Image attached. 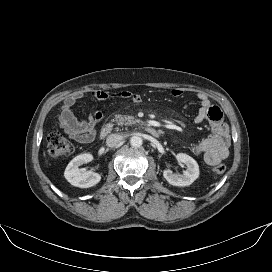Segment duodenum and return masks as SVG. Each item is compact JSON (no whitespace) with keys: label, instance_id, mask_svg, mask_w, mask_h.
I'll return each instance as SVG.
<instances>
[{"label":"duodenum","instance_id":"410a0bca","mask_svg":"<svg viewBox=\"0 0 272 272\" xmlns=\"http://www.w3.org/2000/svg\"><path fill=\"white\" fill-rule=\"evenodd\" d=\"M113 129V125L112 123H106L100 131V137H105L107 136ZM144 130L150 134L153 137H159L160 136V132L158 129H156L155 127L149 126V125H145L144 126Z\"/></svg>","mask_w":272,"mask_h":272}]
</instances>
